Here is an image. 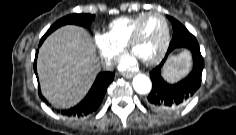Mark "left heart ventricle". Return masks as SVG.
<instances>
[{
  "label": "left heart ventricle",
  "mask_w": 236,
  "mask_h": 135,
  "mask_svg": "<svg viewBox=\"0 0 236 135\" xmlns=\"http://www.w3.org/2000/svg\"><path fill=\"white\" fill-rule=\"evenodd\" d=\"M164 40V24L157 16H151L142 25L139 41L132 55L139 61L154 57L160 50Z\"/></svg>",
  "instance_id": "b2bd125f"
}]
</instances>
